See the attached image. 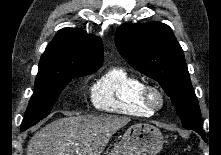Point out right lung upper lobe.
<instances>
[{
	"mask_svg": "<svg viewBox=\"0 0 221 155\" xmlns=\"http://www.w3.org/2000/svg\"><path fill=\"white\" fill-rule=\"evenodd\" d=\"M103 64V47L99 37L76 28L57 32L42 54L39 69H68Z\"/></svg>",
	"mask_w": 221,
	"mask_h": 155,
	"instance_id": "obj_1",
	"label": "right lung upper lobe"
}]
</instances>
